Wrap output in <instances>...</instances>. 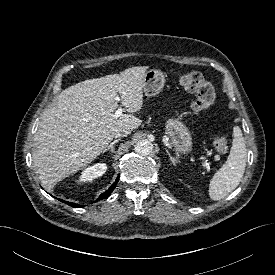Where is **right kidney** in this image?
I'll return each instance as SVG.
<instances>
[{
	"label": "right kidney",
	"instance_id": "obj_1",
	"mask_svg": "<svg viewBox=\"0 0 275 275\" xmlns=\"http://www.w3.org/2000/svg\"><path fill=\"white\" fill-rule=\"evenodd\" d=\"M107 170L105 163H97L83 170L79 177L80 182L92 181L95 178L102 176Z\"/></svg>",
	"mask_w": 275,
	"mask_h": 275
}]
</instances>
